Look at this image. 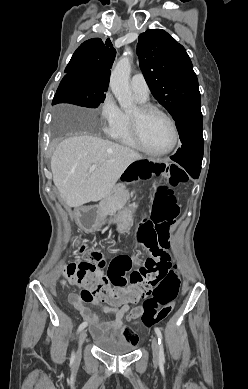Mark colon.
<instances>
[{"instance_id":"obj_1","label":"colon","mask_w":248,"mask_h":389,"mask_svg":"<svg viewBox=\"0 0 248 389\" xmlns=\"http://www.w3.org/2000/svg\"><path fill=\"white\" fill-rule=\"evenodd\" d=\"M176 166V161H150L149 157H140L129 165L123 177L124 182L131 185L133 180L148 181L149 176L167 173V182L158 185L150 216L143 219L135 231L137 243L151 252L142 267L131 271V257L121 255L110 261L107 275H104L102 254L78 244V253L85 260L69 263L64 268L67 282L83 287L80 298L85 303L101 298L121 305L143 299L140 321L147 328L166 319L180 291L177 267L164 251L170 245L171 226L179 214L173 188L187 180L186 173ZM108 282L117 287H109ZM118 287L126 290L119 291Z\"/></svg>"}]
</instances>
